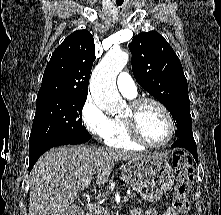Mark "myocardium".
I'll use <instances>...</instances> for the list:
<instances>
[{
    "mask_svg": "<svg viewBox=\"0 0 221 215\" xmlns=\"http://www.w3.org/2000/svg\"><path fill=\"white\" fill-rule=\"evenodd\" d=\"M146 103H152L159 107L162 112L165 114L168 124H169V131L168 135L165 138V140L159 144H152L148 142L143 135L141 134L138 126V111ZM129 110L127 114H125L122 119L126 124L127 131L130 135V137L140 144L143 147L151 148V149H160L165 147L169 144V142L172 140L174 133H175V121L174 118L170 112V110L166 107L165 104H163L161 101H159L156 98L153 97H137L130 101Z\"/></svg>",
    "mask_w": 221,
    "mask_h": 215,
    "instance_id": "obj_1",
    "label": "myocardium"
}]
</instances>
